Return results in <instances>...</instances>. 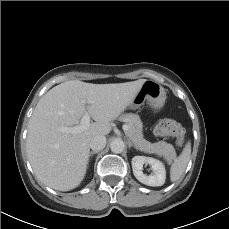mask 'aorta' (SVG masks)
Returning a JSON list of instances; mask_svg holds the SVG:
<instances>
[{
	"label": "aorta",
	"instance_id": "aorta-1",
	"mask_svg": "<svg viewBox=\"0 0 229 229\" xmlns=\"http://www.w3.org/2000/svg\"><path fill=\"white\" fill-rule=\"evenodd\" d=\"M125 144L122 139L116 138L112 140L110 149L113 153H122L124 151Z\"/></svg>",
	"mask_w": 229,
	"mask_h": 229
}]
</instances>
